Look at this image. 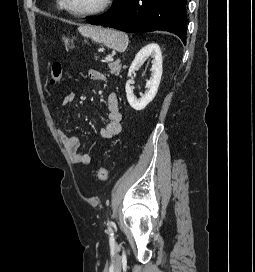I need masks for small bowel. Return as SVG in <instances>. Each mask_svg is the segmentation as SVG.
Masks as SVG:
<instances>
[{
    "label": "small bowel",
    "mask_w": 255,
    "mask_h": 272,
    "mask_svg": "<svg viewBox=\"0 0 255 272\" xmlns=\"http://www.w3.org/2000/svg\"><path fill=\"white\" fill-rule=\"evenodd\" d=\"M88 77L93 81L104 82L107 80L105 74L97 70H89ZM75 93L68 92L64 95L61 105L68 106L75 100ZM122 115L119 111V100L116 93H110L107 98V124L100 131V135L105 139H112L121 132ZM59 138L68 152L73 163L88 165L91 158L88 154L79 150L80 143L77 137L68 136L59 130Z\"/></svg>",
    "instance_id": "1"
}]
</instances>
